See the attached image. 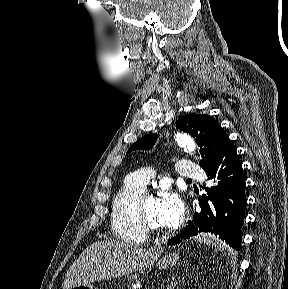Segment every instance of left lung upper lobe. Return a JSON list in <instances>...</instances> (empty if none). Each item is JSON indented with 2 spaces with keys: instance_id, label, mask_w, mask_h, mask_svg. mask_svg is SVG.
<instances>
[{
  "instance_id": "5c2ea615",
  "label": "left lung upper lobe",
  "mask_w": 288,
  "mask_h": 289,
  "mask_svg": "<svg viewBox=\"0 0 288 289\" xmlns=\"http://www.w3.org/2000/svg\"><path fill=\"white\" fill-rule=\"evenodd\" d=\"M176 128L190 133L200 146L202 160L199 165L204 169L218 155L224 142L229 138L221 126L205 114H188L179 119ZM157 134H149L136 141L127 153L136 149H149L156 142Z\"/></svg>"
}]
</instances>
